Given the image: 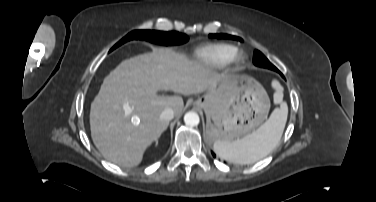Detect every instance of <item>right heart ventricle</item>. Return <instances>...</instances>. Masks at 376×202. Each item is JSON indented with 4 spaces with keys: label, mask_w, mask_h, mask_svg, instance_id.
I'll use <instances>...</instances> for the list:
<instances>
[{
    "label": "right heart ventricle",
    "mask_w": 376,
    "mask_h": 202,
    "mask_svg": "<svg viewBox=\"0 0 376 202\" xmlns=\"http://www.w3.org/2000/svg\"><path fill=\"white\" fill-rule=\"evenodd\" d=\"M236 52L237 48L227 43L210 44L197 50L195 58L212 67L219 68L226 65Z\"/></svg>",
    "instance_id": "obj_1"
}]
</instances>
